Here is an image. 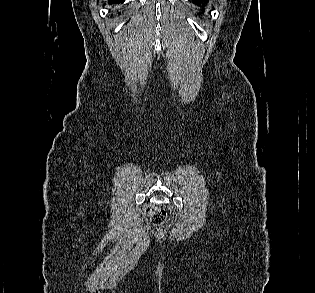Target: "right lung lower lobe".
<instances>
[{"label": "right lung lower lobe", "mask_w": 315, "mask_h": 293, "mask_svg": "<svg viewBox=\"0 0 315 293\" xmlns=\"http://www.w3.org/2000/svg\"><path fill=\"white\" fill-rule=\"evenodd\" d=\"M124 0H109V3H122Z\"/></svg>", "instance_id": "98d812e1"}]
</instances>
